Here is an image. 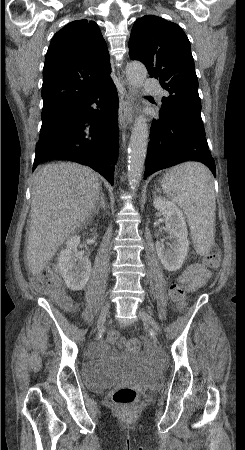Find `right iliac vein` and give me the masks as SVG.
I'll return each instance as SVG.
<instances>
[{
    "label": "right iliac vein",
    "mask_w": 245,
    "mask_h": 450,
    "mask_svg": "<svg viewBox=\"0 0 245 450\" xmlns=\"http://www.w3.org/2000/svg\"><path fill=\"white\" fill-rule=\"evenodd\" d=\"M109 310H110V302H106L104 304V306L102 307L100 316H99L98 321H97V328L98 329L103 326V324H104V322L106 320V317H107V315L109 313Z\"/></svg>",
    "instance_id": "obj_1"
}]
</instances>
